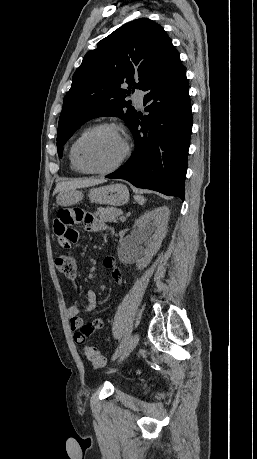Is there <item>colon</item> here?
Returning <instances> with one entry per match:
<instances>
[{
    "label": "colon",
    "instance_id": "5ec220e1",
    "mask_svg": "<svg viewBox=\"0 0 257 459\" xmlns=\"http://www.w3.org/2000/svg\"><path fill=\"white\" fill-rule=\"evenodd\" d=\"M55 265L57 270L63 275L73 277L76 274V261L71 254H62L58 256L55 260ZM84 354L94 367L103 368L106 366L105 357L96 347L86 345L84 347Z\"/></svg>",
    "mask_w": 257,
    "mask_h": 459
}]
</instances>
